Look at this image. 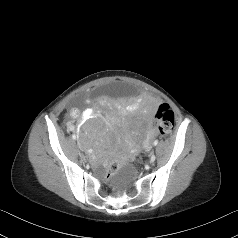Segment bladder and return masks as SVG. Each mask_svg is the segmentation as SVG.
Wrapping results in <instances>:
<instances>
[{
	"instance_id": "31cf9c89",
	"label": "bladder",
	"mask_w": 238,
	"mask_h": 238,
	"mask_svg": "<svg viewBox=\"0 0 238 238\" xmlns=\"http://www.w3.org/2000/svg\"><path fill=\"white\" fill-rule=\"evenodd\" d=\"M125 94L130 97H136L139 94V89L130 84H125L124 82L101 85L100 87H95L92 90V95L95 98H100L101 96H110V95H118ZM80 142L82 140L80 139Z\"/></svg>"
}]
</instances>
